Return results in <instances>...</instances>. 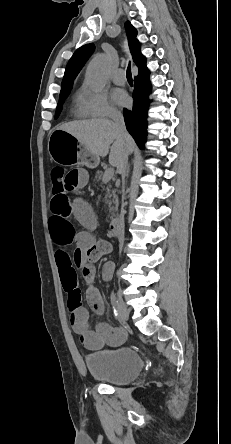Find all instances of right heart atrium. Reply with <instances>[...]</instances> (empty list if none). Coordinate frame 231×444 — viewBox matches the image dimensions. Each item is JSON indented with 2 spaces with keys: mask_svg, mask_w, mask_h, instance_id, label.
<instances>
[{
  "mask_svg": "<svg viewBox=\"0 0 231 444\" xmlns=\"http://www.w3.org/2000/svg\"><path fill=\"white\" fill-rule=\"evenodd\" d=\"M77 109L82 117L107 118L118 115L104 92L92 90L86 85L80 89Z\"/></svg>",
  "mask_w": 231,
  "mask_h": 444,
  "instance_id": "right-heart-atrium-1",
  "label": "right heart atrium"
}]
</instances>
